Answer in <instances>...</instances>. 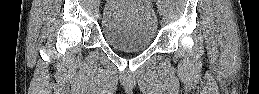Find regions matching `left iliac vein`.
I'll return each mask as SVG.
<instances>
[{"mask_svg":"<svg viewBox=\"0 0 259 94\" xmlns=\"http://www.w3.org/2000/svg\"><path fill=\"white\" fill-rule=\"evenodd\" d=\"M157 7H158V10H159V13L162 14L163 12V7H162V4L160 1L157 2Z\"/></svg>","mask_w":259,"mask_h":94,"instance_id":"4c4485c4","label":"left iliac vein"}]
</instances>
